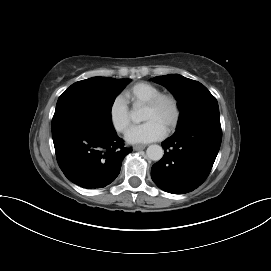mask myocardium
I'll list each match as a JSON object with an SVG mask.
<instances>
[{
    "label": "myocardium",
    "instance_id": "1",
    "mask_svg": "<svg viewBox=\"0 0 271 271\" xmlns=\"http://www.w3.org/2000/svg\"><path fill=\"white\" fill-rule=\"evenodd\" d=\"M163 101L170 102L173 108V118L166 129L167 133H170L176 129L181 117V108L177 97L171 93H159L150 100H148L144 104V107L154 109Z\"/></svg>",
    "mask_w": 271,
    "mask_h": 271
}]
</instances>
